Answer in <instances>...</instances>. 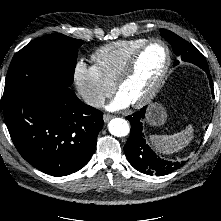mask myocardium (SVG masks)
<instances>
[{
    "label": "myocardium",
    "instance_id": "obj_1",
    "mask_svg": "<svg viewBox=\"0 0 221 221\" xmlns=\"http://www.w3.org/2000/svg\"><path fill=\"white\" fill-rule=\"evenodd\" d=\"M153 44H160L164 47L165 52H166V61L165 65L162 69V72L156 81V83L153 85V87L150 89V91L143 96L141 99H139L136 102L131 103L132 106L136 108L143 107L147 104H149L160 92L161 88L163 87L166 78L168 76L171 64H172V55H171V50L168 46V44L161 40V39H151L147 40L145 43H143L141 46H139L128 58L126 61L123 69L121 70L120 74L118 75L114 85L115 88L118 92H120L121 87L123 84L132 76L136 64L138 62V59L140 58L141 54L151 45Z\"/></svg>",
    "mask_w": 221,
    "mask_h": 221
}]
</instances>
